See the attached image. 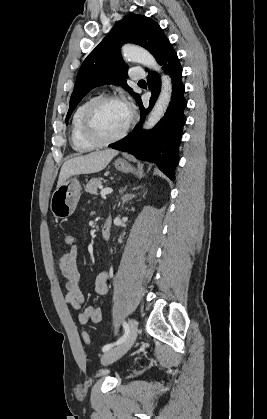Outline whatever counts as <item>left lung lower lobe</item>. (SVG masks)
I'll list each match as a JSON object with an SVG mask.
<instances>
[{
	"label": "left lung lower lobe",
	"mask_w": 267,
	"mask_h": 419,
	"mask_svg": "<svg viewBox=\"0 0 267 419\" xmlns=\"http://www.w3.org/2000/svg\"><path fill=\"white\" fill-rule=\"evenodd\" d=\"M158 63L163 65L165 72L172 79V97L164 117L151 130H142L141 125L160 92V77L156 72L149 71L148 87L152 92L149 107L144 108L141 98L137 100L140 108V123L131 133L111 146L113 149L128 152L137 159L155 163L171 180H174L175 169L179 161V144L183 126L186 122L184 110L187 101L184 98L182 83V67L177 53L170 42L165 46Z\"/></svg>",
	"instance_id": "1"
}]
</instances>
